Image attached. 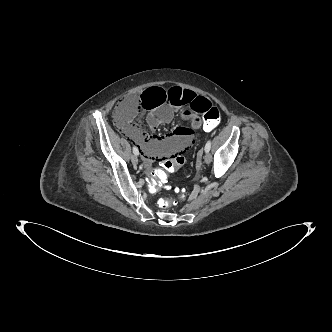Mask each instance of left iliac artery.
<instances>
[{"label":"left iliac artery","mask_w":332,"mask_h":332,"mask_svg":"<svg viewBox=\"0 0 332 332\" xmlns=\"http://www.w3.org/2000/svg\"><path fill=\"white\" fill-rule=\"evenodd\" d=\"M210 148H211V141L208 140L207 143H206V145H205V152H209Z\"/></svg>","instance_id":"44dca946"}]
</instances>
